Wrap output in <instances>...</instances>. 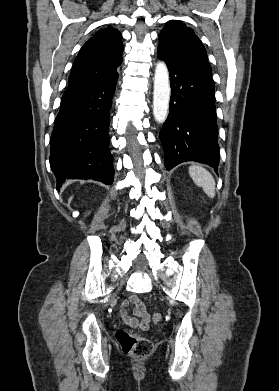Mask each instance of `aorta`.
<instances>
[{
  "instance_id": "obj_1",
  "label": "aorta",
  "mask_w": 279,
  "mask_h": 391,
  "mask_svg": "<svg viewBox=\"0 0 279 391\" xmlns=\"http://www.w3.org/2000/svg\"><path fill=\"white\" fill-rule=\"evenodd\" d=\"M170 82L166 64L159 61L155 68L153 91V115L158 123L165 122L170 101Z\"/></svg>"
}]
</instances>
